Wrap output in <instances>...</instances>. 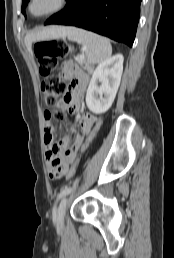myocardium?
I'll return each mask as SVG.
<instances>
[{"label":"myocardium","mask_w":174,"mask_h":258,"mask_svg":"<svg viewBox=\"0 0 174 258\" xmlns=\"http://www.w3.org/2000/svg\"><path fill=\"white\" fill-rule=\"evenodd\" d=\"M37 0H29L27 3V12L34 18H44L51 15H54L61 11L67 4L68 0H56L54 6L51 8L42 11L40 13H35L33 10V6Z\"/></svg>","instance_id":"obj_1"}]
</instances>
